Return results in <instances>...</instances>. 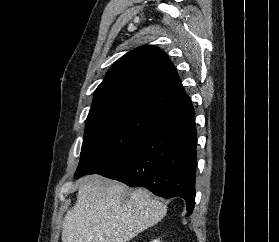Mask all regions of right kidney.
<instances>
[{
  "label": "right kidney",
  "instance_id": "ca27d5eb",
  "mask_svg": "<svg viewBox=\"0 0 279 242\" xmlns=\"http://www.w3.org/2000/svg\"><path fill=\"white\" fill-rule=\"evenodd\" d=\"M151 242H161V241H159V240H153V241H151Z\"/></svg>",
  "mask_w": 279,
  "mask_h": 242
}]
</instances>
